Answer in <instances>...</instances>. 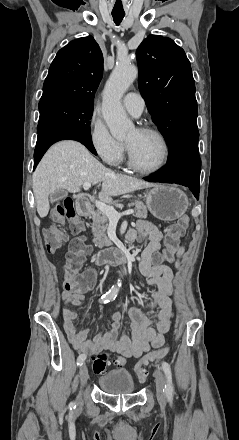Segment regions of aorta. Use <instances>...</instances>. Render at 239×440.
<instances>
[{"instance_id": "aorta-1", "label": "aorta", "mask_w": 239, "mask_h": 440, "mask_svg": "<svg viewBox=\"0 0 239 440\" xmlns=\"http://www.w3.org/2000/svg\"><path fill=\"white\" fill-rule=\"evenodd\" d=\"M138 76V70L130 62L118 60L109 80L105 84L102 100V114L115 140H125L134 132L135 126L128 118L121 98Z\"/></svg>"}]
</instances>
